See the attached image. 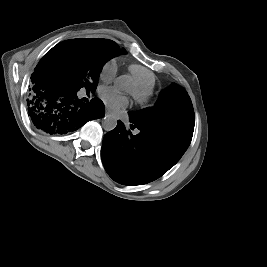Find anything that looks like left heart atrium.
<instances>
[{
    "label": "left heart atrium",
    "mask_w": 267,
    "mask_h": 267,
    "mask_svg": "<svg viewBox=\"0 0 267 267\" xmlns=\"http://www.w3.org/2000/svg\"><path fill=\"white\" fill-rule=\"evenodd\" d=\"M105 94L115 106H122L126 102V99L124 97L116 96L111 91H106Z\"/></svg>",
    "instance_id": "left-heart-atrium-1"
}]
</instances>
